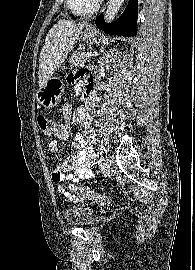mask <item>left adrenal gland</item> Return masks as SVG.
Returning a JSON list of instances; mask_svg holds the SVG:
<instances>
[{"label":"left adrenal gland","instance_id":"obj_1","mask_svg":"<svg viewBox=\"0 0 195 270\" xmlns=\"http://www.w3.org/2000/svg\"><path fill=\"white\" fill-rule=\"evenodd\" d=\"M118 51H116L114 53V50H110L109 52H107L106 54H103L101 57V64L103 63H107L109 59H111L114 55H117Z\"/></svg>","mask_w":195,"mask_h":270}]
</instances>
